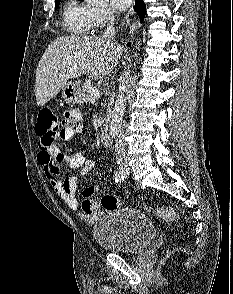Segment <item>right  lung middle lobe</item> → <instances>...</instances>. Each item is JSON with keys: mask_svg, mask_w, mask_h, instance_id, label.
<instances>
[{"mask_svg": "<svg viewBox=\"0 0 233 294\" xmlns=\"http://www.w3.org/2000/svg\"><path fill=\"white\" fill-rule=\"evenodd\" d=\"M59 4H60V0H55V9L59 7Z\"/></svg>", "mask_w": 233, "mask_h": 294, "instance_id": "1", "label": "right lung middle lobe"}]
</instances>
